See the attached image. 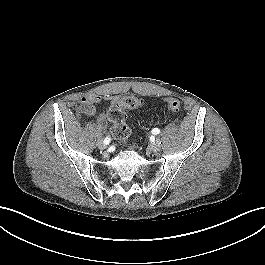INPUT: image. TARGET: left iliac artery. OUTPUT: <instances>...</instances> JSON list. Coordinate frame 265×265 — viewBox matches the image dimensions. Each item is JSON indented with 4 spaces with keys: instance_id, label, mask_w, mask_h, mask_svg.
I'll list each match as a JSON object with an SVG mask.
<instances>
[{
    "instance_id": "1",
    "label": "left iliac artery",
    "mask_w": 265,
    "mask_h": 265,
    "mask_svg": "<svg viewBox=\"0 0 265 265\" xmlns=\"http://www.w3.org/2000/svg\"><path fill=\"white\" fill-rule=\"evenodd\" d=\"M159 132H160V130H159L158 128H154V129L152 130V133H153V134H159Z\"/></svg>"
}]
</instances>
